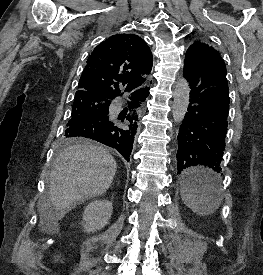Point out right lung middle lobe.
<instances>
[{
    "label": "right lung middle lobe",
    "mask_w": 263,
    "mask_h": 275,
    "mask_svg": "<svg viewBox=\"0 0 263 275\" xmlns=\"http://www.w3.org/2000/svg\"><path fill=\"white\" fill-rule=\"evenodd\" d=\"M110 103V100L93 94L76 95L72 105L71 119L67 125L84 116L108 114ZM74 143H76V139L65 134L60 140L61 145Z\"/></svg>",
    "instance_id": "dd1d6c3e"
}]
</instances>
